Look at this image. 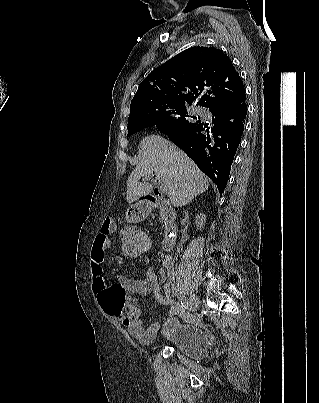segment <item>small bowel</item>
Instances as JSON below:
<instances>
[{
    "label": "small bowel",
    "instance_id": "small-bowel-1",
    "mask_svg": "<svg viewBox=\"0 0 319 403\" xmlns=\"http://www.w3.org/2000/svg\"><path fill=\"white\" fill-rule=\"evenodd\" d=\"M107 218L99 229V235L92 249L93 291L97 295L102 313L119 316L122 324L133 338L142 344H150L155 339L159 323L143 324L141 311L138 307V296L153 293L160 303L170 307V314L173 313L177 309L171 297L174 278L173 262L171 258L165 257L162 267L150 266L143 278L129 279L120 275L118 277L120 283L107 284L104 259L109 243L108 236L115 230L113 215L110 214ZM118 262L121 263L122 259L119 258ZM126 289L130 295L126 294Z\"/></svg>",
    "mask_w": 319,
    "mask_h": 403
}]
</instances>
